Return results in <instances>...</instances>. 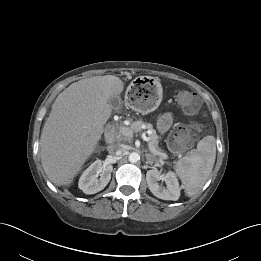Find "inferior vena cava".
I'll list each match as a JSON object with an SVG mask.
<instances>
[{
  "label": "inferior vena cava",
  "instance_id": "inferior-vena-cava-1",
  "mask_svg": "<svg viewBox=\"0 0 261 261\" xmlns=\"http://www.w3.org/2000/svg\"><path fill=\"white\" fill-rule=\"evenodd\" d=\"M107 150L111 155L120 156L126 151V147L123 144H111L108 145Z\"/></svg>",
  "mask_w": 261,
  "mask_h": 261
}]
</instances>
